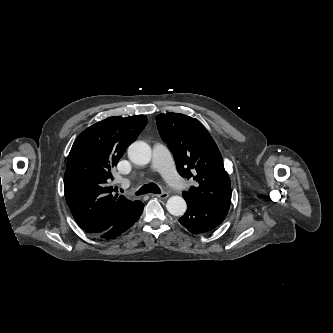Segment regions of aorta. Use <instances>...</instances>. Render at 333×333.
<instances>
[{
    "mask_svg": "<svg viewBox=\"0 0 333 333\" xmlns=\"http://www.w3.org/2000/svg\"><path fill=\"white\" fill-rule=\"evenodd\" d=\"M129 159L137 165H146L151 160V148L144 141H136L128 148ZM166 208L168 212L174 216H182L187 209L185 200L180 196H171L167 203Z\"/></svg>",
    "mask_w": 333,
    "mask_h": 333,
    "instance_id": "762f6f07",
    "label": "aorta"
}]
</instances>
